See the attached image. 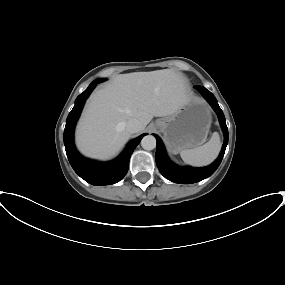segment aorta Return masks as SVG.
<instances>
[{
  "mask_svg": "<svg viewBox=\"0 0 285 285\" xmlns=\"http://www.w3.org/2000/svg\"><path fill=\"white\" fill-rule=\"evenodd\" d=\"M141 146L144 150H153L156 147V138L153 135H146L141 140Z\"/></svg>",
  "mask_w": 285,
  "mask_h": 285,
  "instance_id": "1",
  "label": "aorta"
}]
</instances>
